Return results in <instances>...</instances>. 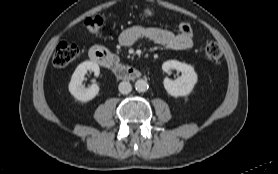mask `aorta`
Returning a JSON list of instances; mask_svg holds the SVG:
<instances>
[{
  "mask_svg": "<svg viewBox=\"0 0 278 174\" xmlns=\"http://www.w3.org/2000/svg\"><path fill=\"white\" fill-rule=\"evenodd\" d=\"M148 87V82L144 79H139L135 82V89L137 92H145Z\"/></svg>",
  "mask_w": 278,
  "mask_h": 174,
  "instance_id": "obj_1",
  "label": "aorta"
}]
</instances>
